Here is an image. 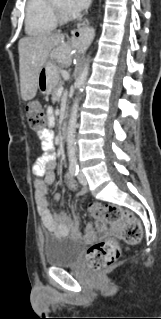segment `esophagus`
<instances>
[{"mask_svg":"<svg viewBox=\"0 0 161 319\" xmlns=\"http://www.w3.org/2000/svg\"><path fill=\"white\" fill-rule=\"evenodd\" d=\"M71 37L82 46H88L90 43L89 28L87 25H80L77 29L71 31Z\"/></svg>","mask_w":161,"mask_h":319,"instance_id":"esophagus-1","label":"esophagus"}]
</instances>
